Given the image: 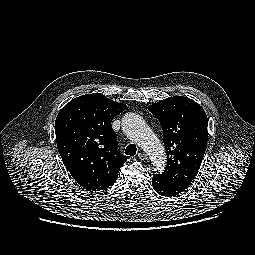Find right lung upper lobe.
<instances>
[{
	"instance_id": "1",
	"label": "right lung upper lobe",
	"mask_w": 255,
	"mask_h": 255,
	"mask_svg": "<svg viewBox=\"0 0 255 255\" xmlns=\"http://www.w3.org/2000/svg\"><path fill=\"white\" fill-rule=\"evenodd\" d=\"M126 108L103 94L74 98L55 121L60 156L75 181L88 191L113 185L126 157L117 150L111 121Z\"/></svg>"
}]
</instances>
